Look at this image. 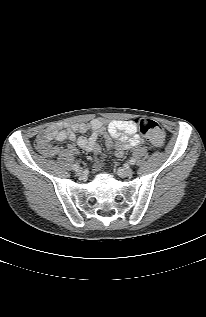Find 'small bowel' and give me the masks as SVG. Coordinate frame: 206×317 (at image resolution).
I'll use <instances>...</instances> for the list:
<instances>
[{
    "mask_svg": "<svg viewBox=\"0 0 206 317\" xmlns=\"http://www.w3.org/2000/svg\"><path fill=\"white\" fill-rule=\"evenodd\" d=\"M88 131H91L88 137L77 135V133L84 134ZM101 136L104 137L108 147L115 149L117 157H122L126 150L137 147L144 142L143 138L137 133V125L134 121L112 120L107 122L101 118H95L88 123H75L66 129L48 127L39 133L38 139L46 141L48 147L45 150L49 154L55 155L60 149L58 146L50 145V141L71 140L82 149L97 153L100 150L98 139ZM113 140H116L115 143H113ZM68 151L71 154L77 153L74 145H69Z\"/></svg>",
    "mask_w": 206,
    "mask_h": 317,
    "instance_id": "1",
    "label": "small bowel"
}]
</instances>
